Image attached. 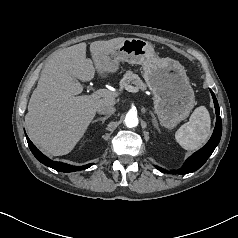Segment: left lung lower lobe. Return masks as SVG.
<instances>
[{
	"instance_id": "0a47b994",
	"label": "left lung lower lobe",
	"mask_w": 238,
	"mask_h": 238,
	"mask_svg": "<svg viewBox=\"0 0 238 238\" xmlns=\"http://www.w3.org/2000/svg\"><path fill=\"white\" fill-rule=\"evenodd\" d=\"M210 92L212 94L214 106L216 110V126L212 134V137L203 148H201L200 150L195 152L192 156H190L185 161V163L183 164L181 168L174 171L172 170L170 172L172 174H187V173H191L198 170L207 161V159L213 153L214 149L216 148V146L218 145L220 141L221 134H222V122H221V117L219 116L220 115L219 105L213 91L210 90ZM156 168L161 171H165L157 166Z\"/></svg>"
}]
</instances>
